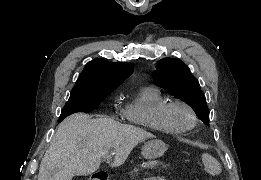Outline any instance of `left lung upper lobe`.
<instances>
[{
	"label": "left lung upper lobe",
	"instance_id": "1",
	"mask_svg": "<svg viewBox=\"0 0 261 180\" xmlns=\"http://www.w3.org/2000/svg\"><path fill=\"white\" fill-rule=\"evenodd\" d=\"M153 80L176 98L189 104L203 123H209V110L203 91L182 61L164 58L157 62Z\"/></svg>",
	"mask_w": 261,
	"mask_h": 180
}]
</instances>
